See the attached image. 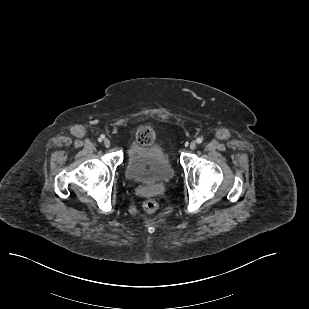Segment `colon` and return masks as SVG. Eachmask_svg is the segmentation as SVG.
Wrapping results in <instances>:
<instances>
[{
  "mask_svg": "<svg viewBox=\"0 0 309 309\" xmlns=\"http://www.w3.org/2000/svg\"><path fill=\"white\" fill-rule=\"evenodd\" d=\"M137 139L141 144H149L153 141L154 134L149 128L142 127L137 132ZM143 208L148 213H154L158 209V203L154 199H148L144 202Z\"/></svg>",
  "mask_w": 309,
  "mask_h": 309,
  "instance_id": "5ec220e1",
  "label": "colon"
}]
</instances>
